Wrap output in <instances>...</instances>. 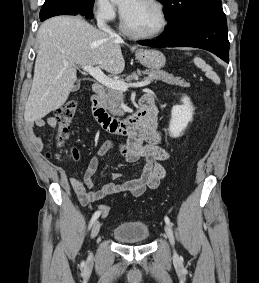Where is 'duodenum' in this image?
Wrapping results in <instances>:
<instances>
[{"instance_id": "duodenum-1", "label": "duodenum", "mask_w": 259, "mask_h": 283, "mask_svg": "<svg viewBox=\"0 0 259 283\" xmlns=\"http://www.w3.org/2000/svg\"><path fill=\"white\" fill-rule=\"evenodd\" d=\"M105 88L101 84L93 85L91 97L92 113L98 123L109 133L130 136L147 127L156 117L157 109L151 96H144L137 112L127 119H116L110 116L102 105Z\"/></svg>"}]
</instances>
